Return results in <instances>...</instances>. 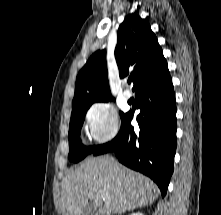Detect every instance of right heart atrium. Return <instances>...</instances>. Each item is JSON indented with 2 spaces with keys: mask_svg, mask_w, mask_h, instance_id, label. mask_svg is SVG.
I'll return each mask as SVG.
<instances>
[{
  "mask_svg": "<svg viewBox=\"0 0 221 215\" xmlns=\"http://www.w3.org/2000/svg\"><path fill=\"white\" fill-rule=\"evenodd\" d=\"M85 123L91 138L100 144L111 140L119 130L117 112L105 101L96 102L87 110Z\"/></svg>",
  "mask_w": 221,
  "mask_h": 215,
  "instance_id": "1",
  "label": "right heart atrium"
}]
</instances>
